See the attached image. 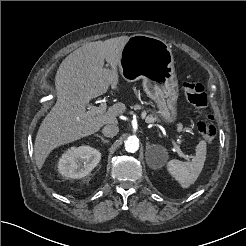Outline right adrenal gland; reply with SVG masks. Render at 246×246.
I'll list each match as a JSON object with an SVG mask.
<instances>
[{
	"label": "right adrenal gland",
	"instance_id": "1",
	"mask_svg": "<svg viewBox=\"0 0 246 246\" xmlns=\"http://www.w3.org/2000/svg\"><path fill=\"white\" fill-rule=\"evenodd\" d=\"M95 136L100 138L103 143H108L109 142V140H106L103 136H101L99 134H95Z\"/></svg>",
	"mask_w": 246,
	"mask_h": 246
}]
</instances>
